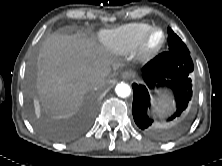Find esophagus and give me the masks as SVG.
Instances as JSON below:
<instances>
[{"mask_svg":"<svg viewBox=\"0 0 222 166\" xmlns=\"http://www.w3.org/2000/svg\"><path fill=\"white\" fill-rule=\"evenodd\" d=\"M120 75H121L122 78L128 79V78L131 77L132 73L129 72V71H122Z\"/></svg>","mask_w":222,"mask_h":166,"instance_id":"obj_1","label":"esophagus"}]
</instances>
